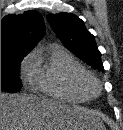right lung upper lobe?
I'll use <instances>...</instances> for the list:
<instances>
[{"mask_svg":"<svg viewBox=\"0 0 123 130\" xmlns=\"http://www.w3.org/2000/svg\"><path fill=\"white\" fill-rule=\"evenodd\" d=\"M44 33L43 18L34 10L5 16L1 21V56L28 54Z\"/></svg>","mask_w":123,"mask_h":130,"instance_id":"cb5924a9","label":"right lung upper lobe"}]
</instances>
